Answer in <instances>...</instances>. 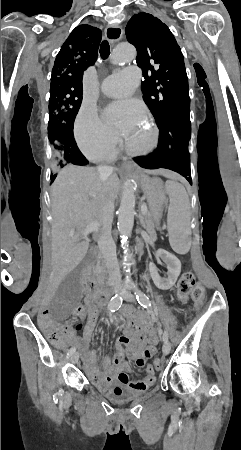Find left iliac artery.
<instances>
[{
  "mask_svg": "<svg viewBox=\"0 0 241 450\" xmlns=\"http://www.w3.org/2000/svg\"><path fill=\"white\" fill-rule=\"evenodd\" d=\"M135 295L138 303L143 306L144 308H150L151 307V301L148 298V296L143 293L141 290L136 289ZM163 341L166 342L168 340V334L166 331L163 332Z\"/></svg>",
  "mask_w": 241,
  "mask_h": 450,
  "instance_id": "1",
  "label": "left iliac artery"
}]
</instances>
